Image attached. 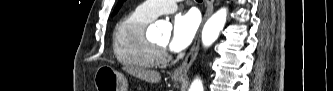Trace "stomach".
Masks as SVG:
<instances>
[{
	"label": "stomach",
	"instance_id": "obj_1",
	"mask_svg": "<svg viewBox=\"0 0 333 91\" xmlns=\"http://www.w3.org/2000/svg\"><path fill=\"white\" fill-rule=\"evenodd\" d=\"M181 81L182 78H174ZM97 91H127L128 82L125 76L108 65L100 66L94 77Z\"/></svg>",
	"mask_w": 333,
	"mask_h": 91
}]
</instances>
